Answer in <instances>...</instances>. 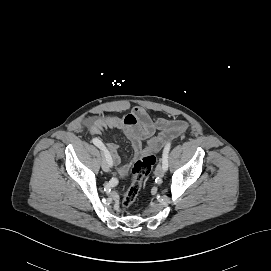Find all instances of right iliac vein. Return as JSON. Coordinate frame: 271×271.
Returning <instances> with one entry per match:
<instances>
[{
	"mask_svg": "<svg viewBox=\"0 0 271 271\" xmlns=\"http://www.w3.org/2000/svg\"><path fill=\"white\" fill-rule=\"evenodd\" d=\"M101 166H102V169L105 172H109L110 171V164H109V161H108L107 157L105 156V154L103 155Z\"/></svg>",
	"mask_w": 271,
	"mask_h": 271,
	"instance_id": "63e3f726",
	"label": "right iliac vein"
}]
</instances>
